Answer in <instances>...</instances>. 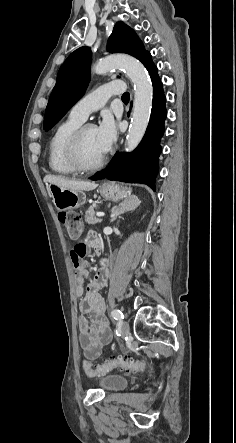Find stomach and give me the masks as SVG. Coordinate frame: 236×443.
I'll list each match as a JSON object with an SVG mask.
<instances>
[{
  "label": "stomach",
  "mask_w": 236,
  "mask_h": 443,
  "mask_svg": "<svg viewBox=\"0 0 236 443\" xmlns=\"http://www.w3.org/2000/svg\"><path fill=\"white\" fill-rule=\"evenodd\" d=\"M49 193L57 210L67 211L83 206L86 202L84 191L64 189L54 184L48 186ZM100 194L106 200L119 201L131 194V189L118 184H110L100 189Z\"/></svg>",
  "instance_id": "0dacf381"
}]
</instances>
